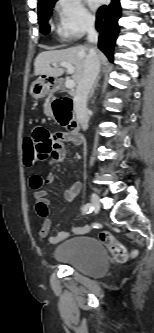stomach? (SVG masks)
<instances>
[{"instance_id": "0dacf381", "label": "stomach", "mask_w": 154, "mask_h": 333, "mask_svg": "<svg viewBox=\"0 0 154 333\" xmlns=\"http://www.w3.org/2000/svg\"><path fill=\"white\" fill-rule=\"evenodd\" d=\"M50 92V83L44 78H38L30 87V94L33 98L39 99L45 97Z\"/></svg>"}]
</instances>
